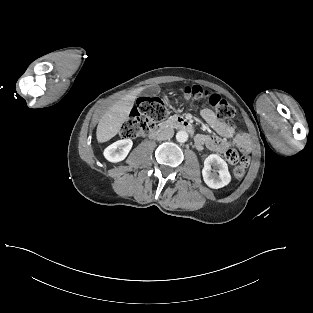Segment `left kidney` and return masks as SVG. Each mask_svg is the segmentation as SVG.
<instances>
[{
  "instance_id": "1",
  "label": "left kidney",
  "mask_w": 313,
  "mask_h": 313,
  "mask_svg": "<svg viewBox=\"0 0 313 313\" xmlns=\"http://www.w3.org/2000/svg\"><path fill=\"white\" fill-rule=\"evenodd\" d=\"M215 164L219 170L218 178L211 174V165ZM202 176L204 182L208 187L219 189L228 185L231 181V175L228 170V165L224 159L217 154H211L204 160V168L202 169Z\"/></svg>"
}]
</instances>
